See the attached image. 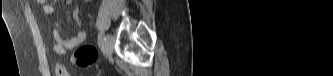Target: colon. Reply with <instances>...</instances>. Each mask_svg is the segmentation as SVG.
Here are the masks:
<instances>
[{
  "mask_svg": "<svg viewBox=\"0 0 333 76\" xmlns=\"http://www.w3.org/2000/svg\"><path fill=\"white\" fill-rule=\"evenodd\" d=\"M72 59L77 66L88 68L96 62L97 51L92 45L86 44L76 50Z\"/></svg>",
  "mask_w": 333,
  "mask_h": 76,
  "instance_id": "1",
  "label": "colon"
}]
</instances>
